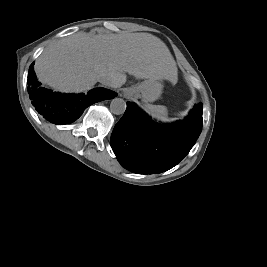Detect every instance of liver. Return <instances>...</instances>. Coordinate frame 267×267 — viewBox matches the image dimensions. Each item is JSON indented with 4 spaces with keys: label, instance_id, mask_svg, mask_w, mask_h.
I'll list each match as a JSON object with an SVG mask.
<instances>
[{
    "label": "liver",
    "instance_id": "1",
    "mask_svg": "<svg viewBox=\"0 0 267 267\" xmlns=\"http://www.w3.org/2000/svg\"><path fill=\"white\" fill-rule=\"evenodd\" d=\"M34 70L40 82L61 92L90 89L101 76L110 77L114 88H119L126 82V73L137 79H177L169 49L149 33L91 36L78 32L46 47Z\"/></svg>",
    "mask_w": 267,
    "mask_h": 267
}]
</instances>
